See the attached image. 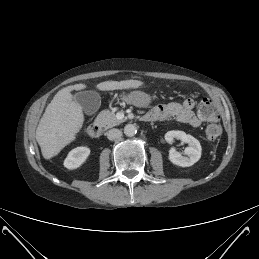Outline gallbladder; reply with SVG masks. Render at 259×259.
I'll return each mask as SVG.
<instances>
[{
	"instance_id": "1",
	"label": "gallbladder",
	"mask_w": 259,
	"mask_h": 259,
	"mask_svg": "<svg viewBox=\"0 0 259 259\" xmlns=\"http://www.w3.org/2000/svg\"><path fill=\"white\" fill-rule=\"evenodd\" d=\"M75 100L82 105V109L87 114L95 113L100 106V95L94 91H88L84 93H78L75 96Z\"/></svg>"
}]
</instances>
